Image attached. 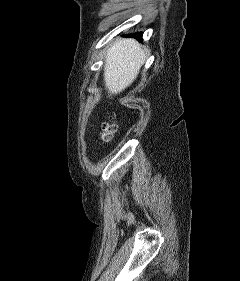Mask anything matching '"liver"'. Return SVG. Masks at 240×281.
I'll list each match as a JSON object with an SVG mask.
<instances>
[{"mask_svg": "<svg viewBox=\"0 0 240 281\" xmlns=\"http://www.w3.org/2000/svg\"><path fill=\"white\" fill-rule=\"evenodd\" d=\"M148 52L134 39H116L105 56L104 82L111 94H118L136 79Z\"/></svg>", "mask_w": 240, "mask_h": 281, "instance_id": "liver-1", "label": "liver"}]
</instances>
